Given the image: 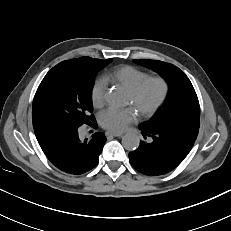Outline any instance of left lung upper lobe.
<instances>
[{
    "instance_id": "obj_1",
    "label": "left lung upper lobe",
    "mask_w": 231,
    "mask_h": 231,
    "mask_svg": "<svg viewBox=\"0 0 231 231\" xmlns=\"http://www.w3.org/2000/svg\"><path fill=\"white\" fill-rule=\"evenodd\" d=\"M134 62L158 72L169 84L168 98L162 110L141 126L147 129L173 130L198 135L199 101L185 73L178 67L162 61L146 59Z\"/></svg>"
}]
</instances>
